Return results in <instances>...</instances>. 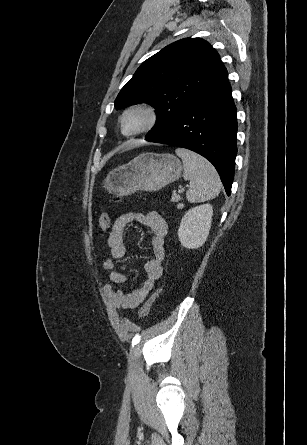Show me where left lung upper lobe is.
<instances>
[{"label":"left lung upper lobe","mask_w":307,"mask_h":445,"mask_svg":"<svg viewBox=\"0 0 307 445\" xmlns=\"http://www.w3.org/2000/svg\"><path fill=\"white\" fill-rule=\"evenodd\" d=\"M227 78L219 54L205 40L176 41L144 61L121 89L117 109L148 103L156 109L151 137L168 127L184 110ZM145 138V139H146Z\"/></svg>","instance_id":"left-lung-upper-lobe-1"}]
</instances>
